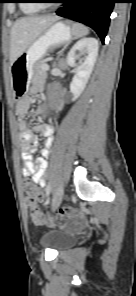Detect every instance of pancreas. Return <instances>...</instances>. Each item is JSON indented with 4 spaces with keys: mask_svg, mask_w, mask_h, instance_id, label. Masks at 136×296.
<instances>
[{
    "mask_svg": "<svg viewBox=\"0 0 136 296\" xmlns=\"http://www.w3.org/2000/svg\"><path fill=\"white\" fill-rule=\"evenodd\" d=\"M45 66L44 63H38L36 66V77L37 78H42L46 76V71L43 69Z\"/></svg>",
    "mask_w": 136,
    "mask_h": 296,
    "instance_id": "1",
    "label": "pancreas"
}]
</instances>
